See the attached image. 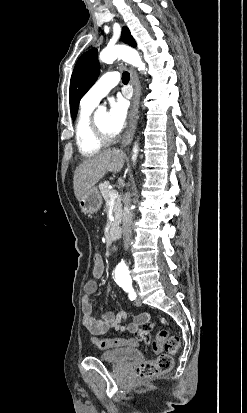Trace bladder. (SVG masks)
Segmentation results:
<instances>
[{
    "label": "bladder",
    "mask_w": 247,
    "mask_h": 413,
    "mask_svg": "<svg viewBox=\"0 0 247 413\" xmlns=\"http://www.w3.org/2000/svg\"><path fill=\"white\" fill-rule=\"evenodd\" d=\"M142 352L134 348H115L109 349L106 353L100 354V360L105 362H116L126 364L130 360H139Z\"/></svg>",
    "instance_id": "31cf9c89"
}]
</instances>
